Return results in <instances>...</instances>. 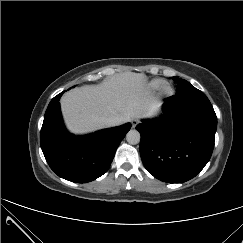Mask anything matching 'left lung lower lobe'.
I'll return each instance as SVG.
<instances>
[{"instance_id": "left-lung-lower-lobe-1", "label": "left lung lower lobe", "mask_w": 243, "mask_h": 243, "mask_svg": "<svg viewBox=\"0 0 243 243\" xmlns=\"http://www.w3.org/2000/svg\"><path fill=\"white\" fill-rule=\"evenodd\" d=\"M199 90L183 86L163 104L164 116L143 120L136 126L141 134L140 154L147 171L167 183H183L210 160L214 148L217 117L214 111L192 106Z\"/></svg>"}]
</instances>
